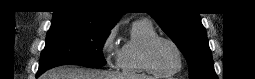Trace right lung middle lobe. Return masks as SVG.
<instances>
[{"mask_svg":"<svg viewBox=\"0 0 255 79\" xmlns=\"http://www.w3.org/2000/svg\"><path fill=\"white\" fill-rule=\"evenodd\" d=\"M110 29L68 24L51 25L41 54L39 73L64 64L89 68L104 66L102 48Z\"/></svg>","mask_w":255,"mask_h":79,"instance_id":"dd1d6c3e","label":"right lung middle lobe"}]
</instances>
